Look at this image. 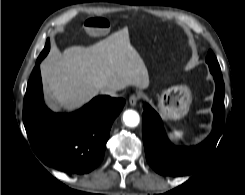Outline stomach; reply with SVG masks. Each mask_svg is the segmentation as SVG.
<instances>
[{"instance_id":"obj_1","label":"stomach","mask_w":245,"mask_h":195,"mask_svg":"<svg viewBox=\"0 0 245 195\" xmlns=\"http://www.w3.org/2000/svg\"><path fill=\"white\" fill-rule=\"evenodd\" d=\"M191 91L186 85H176L164 90L158 97V108L164 119L179 120L189 111Z\"/></svg>"}]
</instances>
